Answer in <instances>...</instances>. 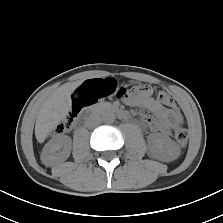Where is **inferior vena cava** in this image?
<instances>
[{
	"label": "inferior vena cava",
	"instance_id": "602c4592",
	"mask_svg": "<svg viewBox=\"0 0 223 223\" xmlns=\"http://www.w3.org/2000/svg\"><path fill=\"white\" fill-rule=\"evenodd\" d=\"M100 122H101V118L99 116H93L88 120L87 126L91 128V127L97 126L98 124H100Z\"/></svg>",
	"mask_w": 223,
	"mask_h": 223
}]
</instances>
